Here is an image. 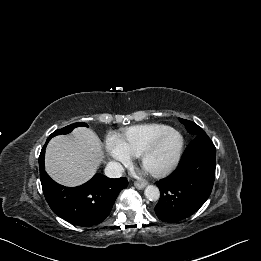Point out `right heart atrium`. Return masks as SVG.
I'll list each match as a JSON object with an SVG mask.
<instances>
[{
  "mask_svg": "<svg viewBox=\"0 0 261 261\" xmlns=\"http://www.w3.org/2000/svg\"><path fill=\"white\" fill-rule=\"evenodd\" d=\"M106 150L110 157L117 162L127 164L130 161V156L118 144L116 138H112L107 142Z\"/></svg>",
  "mask_w": 261,
  "mask_h": 261,
  "instance_id": "d8ad5b80",
  "label": "right heart atrium"
}]
</instances>
